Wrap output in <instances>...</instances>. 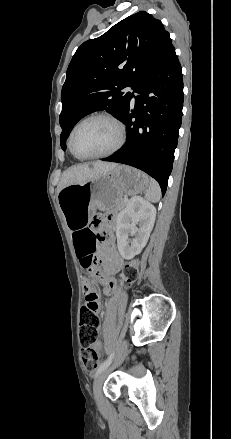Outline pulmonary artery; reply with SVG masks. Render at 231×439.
I'll use <instances>...</instances> for the list:
<instances>
[{
    "instance_id": "pulmonary-artery-1",
    "label": "pulmonary artery",
    "mask_w": 231,
    "mask_h": 439,
    "mask_svg": "<svg viewBox=\"0 0 231 439\" xmlns=\"http://www.w3.org/2000/svg\"><path fill=\"white\" fill-rule=\"evenodd\" d=\"M127 91H130V92H132V93H133V95H134V96H136V93H134V92H133V89H132L131 87H128V88H127Z\"/></svg>"
}]
</instances>
